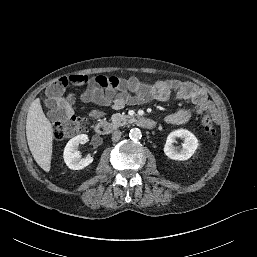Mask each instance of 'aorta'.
<instances>
[{"instance_id":"aorta-1","label":"aorta","mask_w":257,"mask_h":257,"mask_svg":"<svg viewBox=\"0 0 257 257\" xmlns=\"http://www.w3.org/2000/svg\"><path fill=\"white\" fill-rule=\"evenodd\" d=\"M129 137L132 140H139L142 137L141 130L139 128H132L129 132Z\"/></svg>"}]
</instances>
